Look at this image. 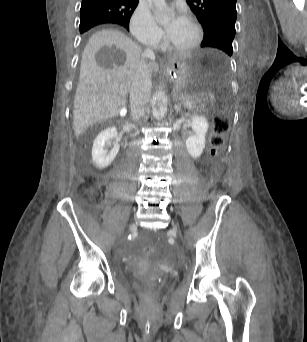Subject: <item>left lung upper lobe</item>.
Instances as JSON below:
<instances>
[{
  "label": "left lung upper lobe",
  "mask_w": 307,
  "mask_h": 342,
  "mask_svg": "<svg viewBox=\"0 0 307 342\" xmlns=\"http://www.w3.org/2000/svg\"><path fill=\"white\" fill-rule=\"evenodd\" d=\"M204 30L201 47L233 53L237 0H186Z\"/></svg>",
  "instance_id": "5c2ea615"
}]
</instances>
